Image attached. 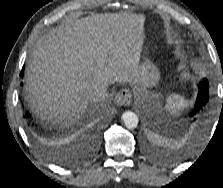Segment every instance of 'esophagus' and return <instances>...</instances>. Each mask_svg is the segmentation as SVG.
Here are the masks:
<instances>
[{"label": "esophagus", "instance_id": "obj_1", "mask_svg": "<svg viewBox=\"0 0 223 188\" xmlns=\"http://www.w3.org/2000/svg\"><path fill=\"white\" fill-rule=\"evenodd\" d=\"M131 101H132V94L128 89L120 90L114 98V103L117 106H129Z\"/></svg>", "mask_w": 223, "mask_h": 188}]
</instances>
